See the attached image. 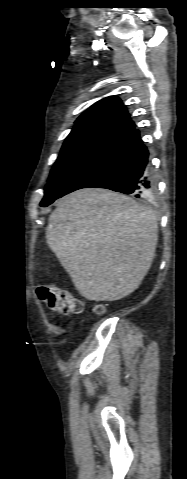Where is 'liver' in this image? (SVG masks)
Wrapping results in <instances>:
<instances>
[{
    "label": "liver",
    "instance_id": "liver-1",
    "mask_svg": "<svg viewBox=\"0 0 187 479\" xmlns=\"http://www.w3.org/2000/svg\"><path fill=\"white\" fill-rule=\"evenodd\" d=\"M46 239L83 297L115 301L135 291L150 269L158 222L126 195L86 188L58 201Z\"/></svg>",
    "mask_w": 187,
    "mask_h": 479
}]
</instances>
